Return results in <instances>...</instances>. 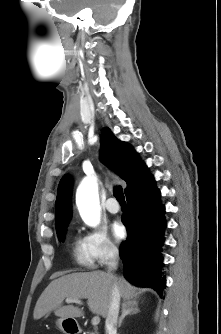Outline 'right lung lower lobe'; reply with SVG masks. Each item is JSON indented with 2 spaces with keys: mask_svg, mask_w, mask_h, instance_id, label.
<instances>
[{
  "mask_svg": "<svg viewBox=\"0 0 221 334\" xmlns=\"http://www.w3.org/2000/svg\"><path fill=\"white\" fill-rule=\"evenodd\" d=\"M127 212L122 216L128 237L120 246L123 273L132 284L151 287L162 296L165 278L161 277L164 244L165 207L160 191L150 177L139 187L126 193Z\"/></svg>",
  "mask_w": 221,
  "mask_h": 334,
  "instance_id": "98d812e1",
  "label": "right lung lower lobe"
}]
</instances>
